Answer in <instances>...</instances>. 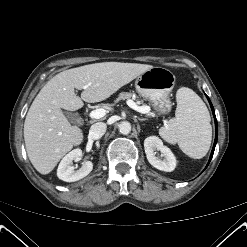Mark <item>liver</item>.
<instances>
[{
  "label": "liver",
  "mask_w": 247,
  "mask_h": 247,
  "mask_svg": "<svg viewBox=\"0 0 247 247\" xmlns=\"http://www.w3.org/2000/svg\"><path fill=\"white\" fill-rule=\"evenodd\" d=\"M152 65L103 62L65 70L50 79L40 90L24 123L27 155L41 174L50 173L73 146L83 141V132L72 126L61 109L76 111L85 102L109 98ZM74 88L83 90L81 97Z\"/></svg>",
  "instance_id": "6515ba94"
}]
</instances>
